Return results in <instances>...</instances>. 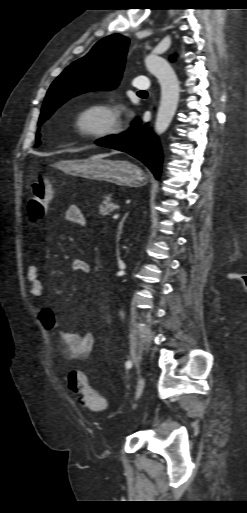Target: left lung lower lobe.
I'll list each match as a JSON object with an SVG mask.
<instances>
[{
  "label": "left lung lower lobe",
  "mask_w": 247,
  "mask_h": 513,
  "mask_svg": "<svg viewBox=\"0 0 247 513\" xmlns=\"http://www.w3.org/2000/svg\"><path fill=\"white\" fill-rule=\"evenodd\" d=\"M96 144L126 152L143 162L159 179L162 153L157 138L136 120L126 133L99 139Z\"/></svg>",
  "instance_id": "0a47b994"
}]
</instances>
